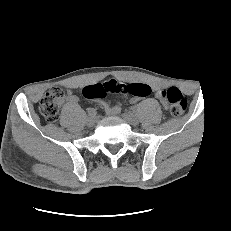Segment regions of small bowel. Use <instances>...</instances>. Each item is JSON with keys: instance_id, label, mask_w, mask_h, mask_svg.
I'll return each instance as SVG.
<instances>
[{"instance_id": "c3829d8e", "label": "small bowel", "mask_w": 231, "mask_h": 231, "mask_svg": "<svg viewBox=\"0 0 231 231\" xmlns=\"http://www.w3.org/2000/svg\"><path fill=\"white\" fill-rule=\"evenodd\" d=\"M154 92L157 98H159L163 104V97H162V87L159 84H153L150 87ZM140 99V97L133 96L132 101L136 102ZM66 101L70 103H75L78 101V98L76 95L69 93L66 97ZM104 108L108 114H117L120 111V108L118 106H109L108 104L104 103Z\"/></svg>"}]
</instances>
